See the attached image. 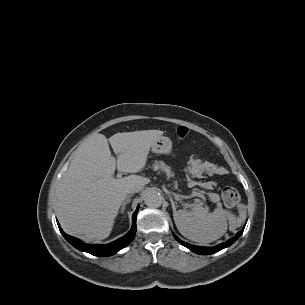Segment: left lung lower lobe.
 Masks as SVG:
<instances>
[{"label":"left lung lower lobe","instance_id":"left-lung-lower-lobe-1","mask_svg":"<svg viewBox=\"0 0 305 305\" xmlns=\"http://www.w3.org/2000/svg\"><path fill=\"white\" fill-rule=\"evenodd\" d=\"M244 230V229H243ZM243 230H241L240 232H238L236 234L235 237L229 239L227 242H224V243H221L215 247H201V246H194V245H191V244H188L186 242H183L181 241L178 237H176L174 235V237L176 238V240L181 243L182 245H184L185 247L189 248L190 250H192L193 252L195 253H198V254H203V255H209V254H212V253H215V252H218L228 246H230L231 244H233L238 238L239 236L242 234Z\"/></svg>","mask_w":305,"mask_h":305}]
</instances>
